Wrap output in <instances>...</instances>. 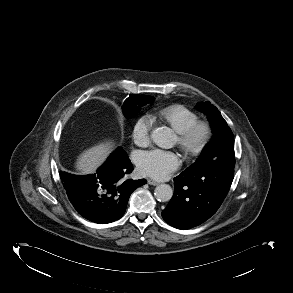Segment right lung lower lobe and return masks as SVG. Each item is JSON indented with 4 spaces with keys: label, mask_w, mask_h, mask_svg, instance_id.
<instances>
[{
    "label": "right lung lower lobe",
    "mask_w": 293,
    "mask_h": 293,
    "mask_svg": "<svg viewBox=\"0 0 293 293\" xmlns=\"http://www.w3.org/2000/svg\"><path fill=\"white\" fill-rule=\"evenodd\" d=\"M133 165L123 148L114 151L95 174L75 176L60 172L67 196L84 218L106 224L119 219L125 212L131 193L146 180L124 177Z\"/></svg>",
    "instance_id": "1"
}]
</instances>
